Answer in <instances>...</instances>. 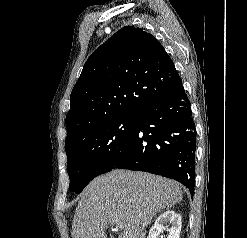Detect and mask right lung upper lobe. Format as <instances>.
Wrapping results in <instances>:
<instances>
[{"instance_id":"right-lung-upper-lobe-1","label":"right lung upper lobe","mask_w":247,"mask_h":238,"mask_svg":"<svg viewBox=\"0 0 247 238\" xmlns=\"http://www.w3.org/2000/svg\"><path fill=\"white\" fill-rule=\"evenodd\" d=\"M179 78L154 36L141 28L123 27L83 67L70 96L65 146L98 124L138 114L169 93Z\"/></svg>"}]
</instances>
